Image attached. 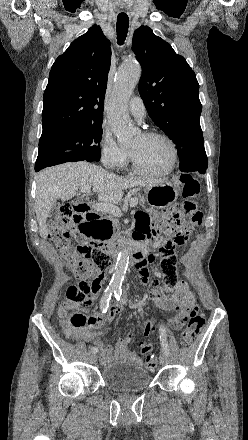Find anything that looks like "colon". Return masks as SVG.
Listing matches in <instances>:
<instances>
[{"label": "colon", "mask_w": 248, "mask_h": 440, "mask_svg": "<svg viewBox=\"0 0 248 440\" xmlns=\"http://www.w3.org/2000/svg\"><path fill=\"white\" fill-rule=\"evenodd\" d=\"M183 185V197L181 212L185 218V224L190 227L201 224L202 214L192 198L200 191L199 183L189 175H181L179 178ZM84 216L79 205L66 204L61 207L55 218L50 223V238L65 258L69 269L79 278L70 285L65 294L64 305L74 309L77 307H89L92 305L98 284L96 278H91L96 271H102V267L109 266V258L98 246L87 241H81L77 245L72 242V237L79 228H84ZM187 239V232L174 231L170 237L161 238L158 241L161 257H177L175 247L183 244ZM178 278V277H177ZM183 319L175 316L172 319ZM187 326L181 333V342L189 345L202 330L205 319L203 314L196 310L190 311L186 317ZM70 322L75 327H82L89 323V319L80 312H75L70 317ZM154 327L148 322L143 327L144 335H149ZM145 364L152 369L157 364L150 342H144L141 346Z\"/></svg>", "instance_id": "obj_1"}]
</instances>
